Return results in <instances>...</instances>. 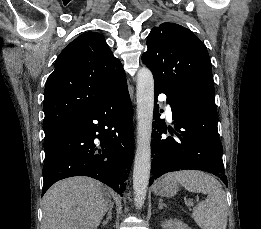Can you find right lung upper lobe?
I'll list each match as a JSON object with an SVG mask.
<instances>
[{"instance_id": "right-lung-upper-lobe-1", "label": "right lung upper lobe", "mask_w": 261, "mask_h": 229, "mask_svg": "<svg viewBox=\"0 0 261 229\" xmlns=\"http://www.w3.org/2000/svg\"><path fill=\"white\" fill-rule=\"evenodd\" d=\"M126 84L121 62L103 36L87 32L58 56L44 91V130H59Z\"/></svg>"}]
</instances>
